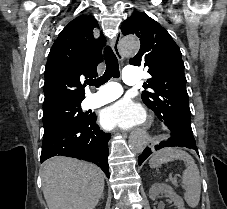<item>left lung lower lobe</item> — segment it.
Returning <instances> with one entry per match:
<instances>
[{"mask_svg":"<svg viewBox=\"0 0 227 209\" xmlns=\"http://www.w3.org/2000/svg\"><path fill=\"white\" fill-rule=\"evenodd\" d=\"M164 123L171 130V137L167 141H163L160 144L156 145L154 148L155 150H159L164 147H186L194 149L197 154H199L193 134H189L180 128L173 127L166 122ZM151 152V148H146L139 156L138 164L141 165L144 160L151 154Z\"/></svg>","mask_w":227,"mask_h":209,"instance_id":"left-lung-lower-lobe-1","label":"left lung lower lobe"}]
</instances>
